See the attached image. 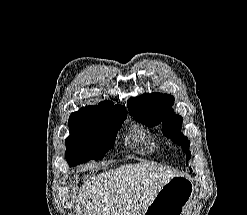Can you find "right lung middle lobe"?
Wrapping results in <instances>:
<instances>
[{
	"label": "right lung middle lobe",
	"mask_w": 247,
	"mask_h": 215,
	"mask_svg": "<svg viewBox=\"0 0 247 215\" xmlns=\"http://www.w3.org/2000/svg\"><path fill=\"white\" fill-rule=\"evenodd\" d=\"M126 114H103L80 109L69 118L70 136L66 138L65 158L70 166L100 160L114 145Z\"/></svg>",
	"instance_id": "obj_1"
}]
</instances>
